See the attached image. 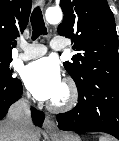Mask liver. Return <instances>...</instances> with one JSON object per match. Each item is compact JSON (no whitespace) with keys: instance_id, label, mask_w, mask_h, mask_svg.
<instances>
[{"instance_id":"liver-1","label":"liver","mask_w":119,"mask_h":141,"mask_svg":"<svg viewBox=\"0 0 119 141\" xmlns=\"http://www.w3.org/2000/svg\"><path fill=\"white\" fill-rule=\"evenodd\" d=\"M37 137L38 132L34 127L31 128L28 137L21 138L8 118L0 121V141H36Z\"/></svg>"}]
</instances>
